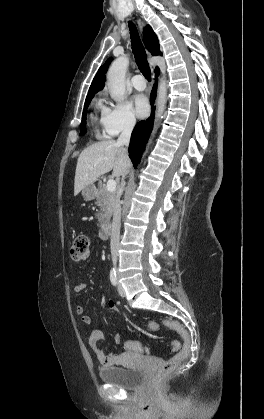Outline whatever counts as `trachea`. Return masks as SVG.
Masks as SVG:
<instances>
[{"instance_id":"3493384b","label":"trachea","mask_w":264,"mask_h":419,"mask_svg":"<svg viewBox=\"0 0 264 419\" xmlns=\"http://www.w3.org/2000/svg\"><path fill=\"white\" fill-rule=\"evenodd\" d=\"M129 29H130L132 50H133V54H134L135 60L137 62V65H138L140 71L142 72V74L144 75V77L148 81H150L151 80V72H150L148 62H147V55H146L145 49L142 45V42L139 38V35H138L135 24L130 22L129 23Z\"/></svg>"}]
</instances>
